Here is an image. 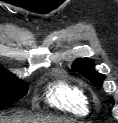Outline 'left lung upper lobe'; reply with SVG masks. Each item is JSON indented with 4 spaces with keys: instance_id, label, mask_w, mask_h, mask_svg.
Returning <instances> with one entry per match:
<instances>
[{
    "instance_id": "left-lung-upper-lobe-1",
    "label": "left lung upper lobe",
    "mask_w": 118,
    "mask_h": 123,
    "mask_svg": "<svg viewBox=\"0 0 118 123\" xmlns=\"http://www.w3.org/2000/svg\"><path fill=\"white\" fill-rule=\"evenodd\" d=\"M72 70L77 71L84 75L88 80L97 86H102V82L105 79L103 74L96 72L93 68V62L89 59H77L72 64ZM111 102L114 103L113 98H110Z\"/></svg>"
}]
</instances>
